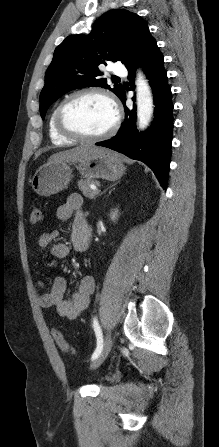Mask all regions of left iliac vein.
Returning <instances> with one entry per match:
<instances>
[{"mask_svg":"<svg viewBox=\"0 0 219 447\" xmlns=\"http://www.w3.org/2000/svg\"><path fill=\"white\" fill-rule=\"evenodd\" d=\"M111 348H112V337H111L110 333H107L105 335V338L103 341V346H102L101 352H100L99 356L90 365V369L98 368L105 361V359L108 357V355L111 351Z\"/></svg>","mask_w":219,"mask_h":447,"instance_id":"4c4485c4","label":"left iliac vein"}]
</instances>
